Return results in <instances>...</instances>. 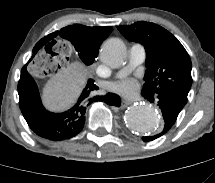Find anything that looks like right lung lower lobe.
Wrapping results in <instances>:
<instances>
[{
  "label": "right lung lower lobe",
  "mask_w": 215,
  "mask_h": 183,
  "mask_svg": "<svg viewBox=\"0 0 215 183\" xmlns=\"http://www.w3.org/2000/svg\"><path fill=\"white\" fill-rule=\"evenodd\" d=\"M95 90H98V87L94 80L89 79L70 110L62 113L50 112L42 105L38 87L25 65L18 83L19 106L29 127L37 135L52 141L65 140L74 137L83 129L85 112L91 103L101 101L112 106L121 105L118 95L107 93L103 96H94Z\"/></svg>",
  "instance_id": "obj_1"
}]
</instances>
